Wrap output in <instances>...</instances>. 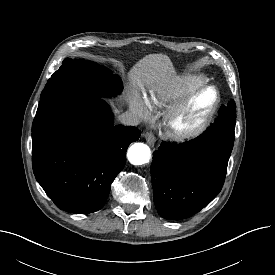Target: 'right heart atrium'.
Returning <instances> with one entry per match:
<instances>
[{"label": "right heart atrium", "instance_id": "obj_1", "mask_svg": "<svg viewBox=\"0 0 275 275\" xmlns=\"http://www.w3.org/2000/svg\"><path fill=\"white\" fill-rule=\"evenodd\" d=\"M130 108L141 117H146L149 113L145 103L136 95L132 96L130 99Z\"/></svg>", "mask_w": 275, "mask_h": 275}]
</instances>
